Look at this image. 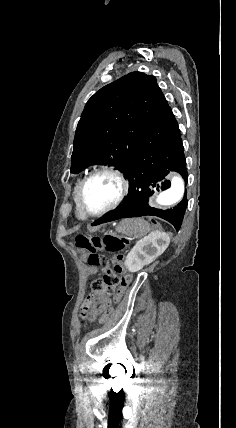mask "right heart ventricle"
Returning <instances> with one entry per match:
<instances>
[{"instance_id":"e07e8e85","label":"right heart ventricle","mask_w":236,"mask_h":428,"mask_svg":"<svg viewBox=\"0 0 236 428\" xmlns=\"http://www.w3.org/2000/svg\"><path fill=\"white\" fill-rule=\"evenodd\" d=\"M80 182H81V178H78L72 186V199L75 203V214H76V216L79 219L84 220L87 218V215L81 209V206L79 204V199H78V189H79Z\"/></svg>"}]
</instances>
